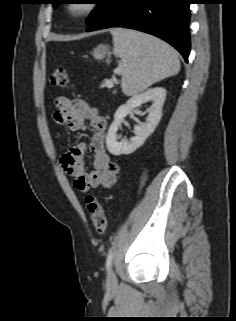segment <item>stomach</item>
Wrapping results in <instances>:
<instances>
[{
  "mask_svg": "<svg viewBox=\"0 0 236 321\" xmlns=\"http://www.w3.org/2000/svg\"><path fill=\"white\" fill-rule=\"evenodd\" d=\"M111 51L108 45L100 44L92 51V55L97 60H102L107 56H110Z\"/></svg>",
  "mask_w": 236,
  "mask_h": 321,
  "instance_id": "stomach-1",
  "label": "stomach"
}]
</instances>
